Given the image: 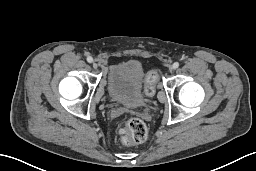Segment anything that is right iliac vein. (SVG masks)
Wrapping results in <instances>:
<instances>
[{
    "label": "right iliac vein",
    "mask_w": 256,
    "mask_h": 171,
    "mask_svg": "<svg viewBox=\"0 0 256 171\" xmlns=\"http://www.w3.org/2000/svg\"><path fill=\"white\" fill-rule=\"evenodd\" d=\"M92 66L95 70L98 68V64L96 63V61L93 62Z\"/></svg>",
    "instance_id": "1"
}]
</instances>
